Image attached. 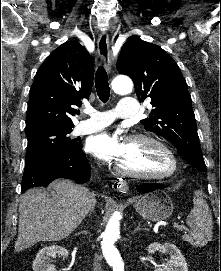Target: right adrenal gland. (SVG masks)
Wrapping results in <instances>:
<instances>
[{"instance_id": "2a0ac1e0", "label": "right adrenal gland", "mask_w": 221, "mask_h": 271, "mask_svg": "<svg viewBox=\"0 0 221 271\" xmlns=\"http://www.w3.org/2000/svg\"><path fill=\"white\" fill-rule=\"evenodd\" d=\"M81 233H87V229H83V231H81Z\"/></svg>"}]
</instances>
